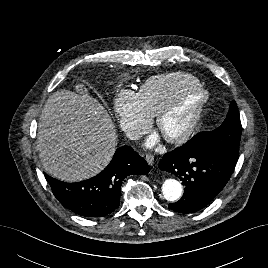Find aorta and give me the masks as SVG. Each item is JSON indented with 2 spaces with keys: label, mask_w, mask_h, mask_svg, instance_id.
I'll use <instances>...</instances> for the list:
<instances>
[{
  "label": "aorta",
  "mask_w": 268,
  "mask_h": 268,
  "mask_svg": "<svg viewBox=\"0 0 268 268\" xmlns=\"http://www.w3.org/2000/svg\"><path fill=\"white\" fill-rule=\"evenodd\" d=\"M183 192V188L180 182L175 179H166L162 185V193L166 200L176 201L178 200Z\"/></svg>",
  "instance_id": "obj_1"
}]
</instances>
